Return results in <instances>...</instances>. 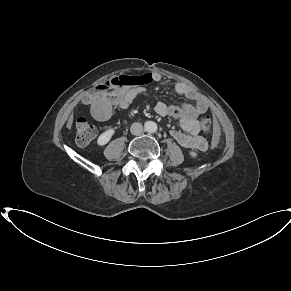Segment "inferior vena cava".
Returning a JSON list of instances; mask_svg holds the SVG:
<instances>
[{"label":"inferior vena cava","mask_w":291,"mask_h":291,"mask_svg":"<svg viewBox=\"0 0 291 291\" xmlns=\"http://www.w3.org/2000/svg\"><path fill=\"white\" fill-rule=\"evenodd\" d=\"M144 129L141 123H133L130 128V132L133 135L139 136L143 133Z\"/></svg>","instance_id":"obj_1"}]
</instances>
